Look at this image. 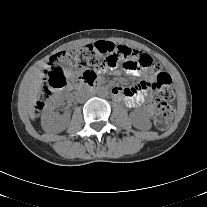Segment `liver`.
<instances>
[{
	"label": "liver",
	"mask_w": 207,
	"mask_h": 207,
	"mask_svg": "<svg viewBox=\"0 0 207 207\" xmlns=\"http://www.w3.org/2000/svg\"><path fill=\"white\" fill-rule=\"evenodd\" d=\"M46 67L45 64L41 65L38 68H35L24 80L21 95L24 100L30 117L35 119V105L38 100V95L41 90V85L44 78L43 69Z\"/></svg>",
	"instance_id": "liver-1"
}]
</instances>
